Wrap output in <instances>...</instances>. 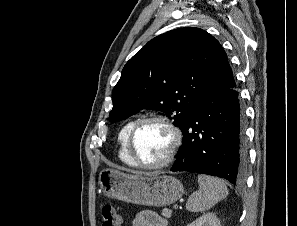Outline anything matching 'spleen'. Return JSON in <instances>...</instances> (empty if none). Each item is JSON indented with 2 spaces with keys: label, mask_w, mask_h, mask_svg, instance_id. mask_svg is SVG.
<instances>
[{
  "label": "spleen",
  "mask_w": 297,
  "mask_h": 226,
  "mask_svg": "<svg viewBox=\"0 0 297 226\" xmlns=\"http://www.w3.org/2000/svg\"><path fill=\"white\" fill-rule=\"evenodd\" d=\"M198 183L199 190L194 192L186 203L190 212H204L228 195V189L221 179L198 175Z\"/></svg>",
  "instance_id": "1"
}]
</instances>
